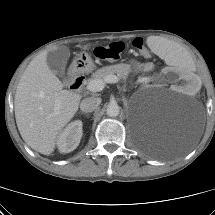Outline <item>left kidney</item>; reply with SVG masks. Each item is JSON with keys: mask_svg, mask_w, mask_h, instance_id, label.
Instances as JSON below:
<instances>
[{"mask_svg": "<svg viewBox=\"0 0 215 215\" xmlns=\"http://www.w3.org/2000/svg\"><path fill=\"white\" fill-rule=\"evenodd\" d=\"M165 79L173 82L175 91L187 90L189 94L196 95L200 91L201 79L190 72L182 71L179 68L167 69L164 71Z\"/></svg>", "mask_w": 215, "mask_h": 215, "instance_id": "left-kidney-1", "label": "left kidney"}]
</instances>
